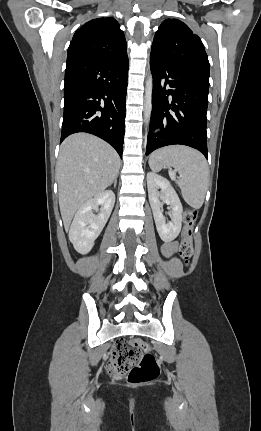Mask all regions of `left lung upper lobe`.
Returning a JSON list of instances; mask_svg holds the SVG:
<instances>
[{"label":"left lung upper lobe","mask_w":261,"mask_h":431,"mask_svg":"<svg viewBox=\"0 0 261 431\" xmlns=\"http://www.w3.org/2000/svg\"><path fill=\"white\" fill-rule=\"evenodd\" d=\"M151 54L209 76V61L200 38L177 19H166L157 30Z\"/></svg>","instance_id":"obj_1"}]
</instances>
